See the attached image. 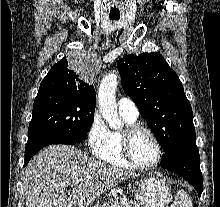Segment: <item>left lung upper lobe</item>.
I'll return each mask as SVG.
<instances>
[{"label":"left lung upper lobe","instance_id":"obj_1","mask_svg":"<svg viewBox=\"0 0 220 207\" xmlns=\"http://www.w3.org/2000/svg\"><path fill=\"white\" fill-rule=\"evenodd\" d=\"M124 92L135 102L164 152L196 139L190 102L177 74L158 52L117 63Z\"/></svg>","mask_w":220,"mask_h":207}]
</instances>
